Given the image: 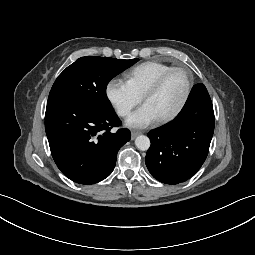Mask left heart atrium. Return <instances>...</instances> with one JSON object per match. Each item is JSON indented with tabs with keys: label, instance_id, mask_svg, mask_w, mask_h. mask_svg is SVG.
<instances>
[{
	"label": "left heart atrium",
	"instance_id": "39dd6f15",
	"mask_svg": "<svg viewBox=\"0 0 255 255\" xmlns=\"http://www.w3.org/2000/svg\"><path fill=\"white\" fill-rule=\"evenodd\" d=\"M159 118L154 108L146 102L133 112L126 122L131 127L143 128L157 121Z\"/></svg>",
	"mask_w": 255,
	"mask_h": 255
}]
</instances>
